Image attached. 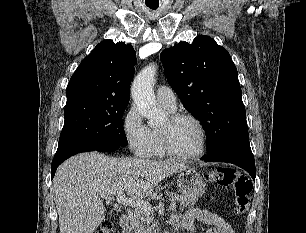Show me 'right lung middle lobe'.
<instances>
[{"label":"right lung middle lobe","mask_w":306,"mask_h":233,"mask_svg":"<svg viewBox=\"0 0 306 233\" xmlns=\"http://www.w3.org/2000/svg\"><path fill=\"white\" fill-rule=\"evenodd\" d=\"M128 103L80 99L66 103L55 155L83 145L126 146L122 116Z\"/></svg>","instance_id":"dd1d6c3e"}]
</instances>
